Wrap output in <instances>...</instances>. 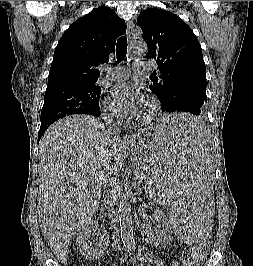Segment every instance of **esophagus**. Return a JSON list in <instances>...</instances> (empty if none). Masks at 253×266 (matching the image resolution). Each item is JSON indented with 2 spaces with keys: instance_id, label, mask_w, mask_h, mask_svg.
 I'll list each match as a JSON object with an SVG mask.
<instances>
[{
  "instance_id": "obj_1",
  "label": "esophagus",
  "mask_w": 253,
  "mask_h": 266,
  "mask_svg": "<svg viewBox=\"0 0 253 266\" xmlns=\"http://www.w3.org/2000/svg\"><path fill=\"white\" fill-rule=\"evenodd\" d=\"M133 33H134V24L132 21H129L127 23V31H126V34H127V37L129 40L132 39ZM134 140H135V136L133 134H127L124 137V142L126 144H131V143H133Z\"/></svg>"
}]
</instances>
